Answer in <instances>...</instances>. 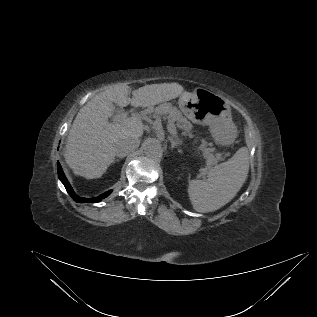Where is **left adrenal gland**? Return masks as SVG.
Here are the masks:
<instances>
[{"instance_id":"a2214340","label":"left adrenal gland","mask_w":317,"mask_h":317,"mask_svg":"<svg viewBox=\"0 0 317 317\" xmlns=\"http://www.w3.org/2000/svg\"><path fill=\"white\" fill-rule=\"evenodd\" d=\"M169 140H170L171 148H172V149H173V148H178L179 142H178L177 140L173 139L172 137H170ZM178 151H180V150L178 149Z\"/></svg>"}]
</instances>
